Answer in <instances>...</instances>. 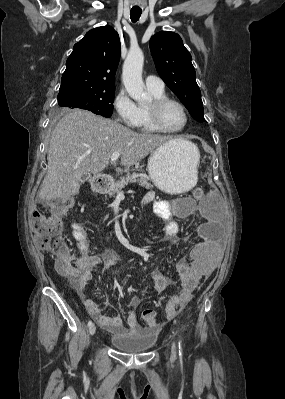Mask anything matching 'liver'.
<instances>
[{
	"mask_svg": "<svg viewBox=\"0 0 285 399\" xmlns=\"http://www.w3.org/2000/svg\"><path fill=\"white\" fill-rule=\"evenodd\" d=\"M168 141L173 140L135 132L88 111L72 110L59 120L52 132L48 170L39 198L66 201L79 193L83 176L100 175L114 152L120 154V164L129 168Z\"/></svg>",
	"mask_w": 285,
	"mask_h": 399,
	"instance_id": "6515ba94",
	"label": "liver"
}]
</instances>
